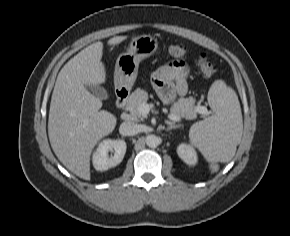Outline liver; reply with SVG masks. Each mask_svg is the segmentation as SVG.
Here are the masks:
<instances>
[{
	"instance_id": "liver-1",
	"label": "liver",
	"mask_w": 290,
	"mask_h": 236,
	"mask_svg": "<svg viewBox=\"0 0 290 236\" xmlns=\"http://www.w3.org/2000/svg\"><path fill=\"white\" fill-rule=\"evenodd\" d=\"M127 36H116L108 45H117ZM103 43L95 42L71 58L60 70L51 97L48 136L60 162L72 173L90 180V155L104 136L115 128L117 119L100 110L102 101L86 85L106 81L101 62Z\"/></svg>"
}]
</instances>
